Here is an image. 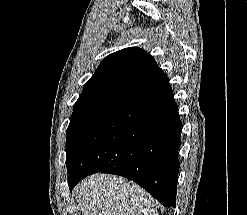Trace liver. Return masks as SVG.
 <instances>
[{
	"instance_id": "1",
	"label": "liver",
	"mask_w": 247,
	"mask_h": 215,
	"mask_svg": "<svg viewBox=\"0 0 247 215\" xmlns=\"http://www.w3.org/2000/svg\"><path fill=\"white\" fill-rule=\"evenodd\" d=\"M74 192L83 215H159L145 190L114 175H92Z\"/></svg>"
}]
</instances>
